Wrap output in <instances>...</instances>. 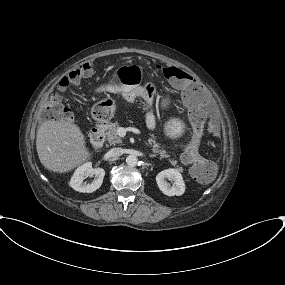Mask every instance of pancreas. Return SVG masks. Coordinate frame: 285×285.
I'll use <instances>...</instances> for the list:
<instances>
[{
	"label": "pancreas",
	"mask_w": 285,
	"mask_h": 285,
	"mask_svg": "<svg viewBox=\"0 0 285 285\" xmlns=\"http://www.w3.org/2000/svg\"><path fill=\"white\" fill-rule=\"evenodd\" d=\"M118 128H119L118 123H109L106 125L105 138L108 141V143L111 145H115L122 142L121 137L118 134ZM148 143L150 146H152V151L155 153V155H159L161 158L169 157V155L166 153L165 150L160 149L161 146L159 143L156 142V138L153 134H150ZM169 162L173 166L177 164V162L172 159H169ZM179 169L182 170L181 167H179Z\"/></svg>",
	"instance_id": "obj_1"
}]
</instances>
